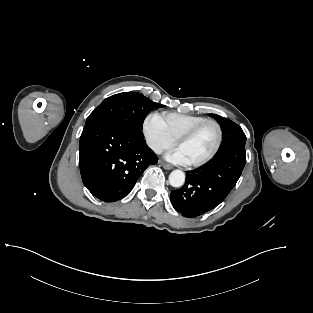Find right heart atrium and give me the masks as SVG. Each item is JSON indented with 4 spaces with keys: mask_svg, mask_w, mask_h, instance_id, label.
I'll list each match as a JSON object with an SVG mask.
<instances>
[{
    "mask_svg": "<svg viewBox=\"0 0 313 313\" xmlns=\"http://www.w3.org/2000/svg\"><path fill=\"white\" fill-rule=\"evenodd\" d=\"M143 135L148 147L156 154L171 148L175 140L168 133L158 113L149 114L143 122Z\"/></svg>",
    "mask_w": 313,
    "mask_h": 313,
    "instance_id": "d8ad5b80",
    "label": "right heart atrium"
}]
</instances>
